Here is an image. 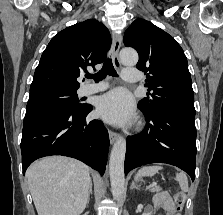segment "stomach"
<instances>
[{"label": "stomach", "instance_id": "0dacf381", "mask_svg": "<svg viewBox=\"0 0 223 215\" xmlns=\"http://www.w3.org/2000/svg\"><path fill=\"white\" fill-rule=\"evenodd\" d=\"M140 177H141V175H138V173H137V175H135L136 181H140Z\"/></svg>", "mask_w": 223, "mask_h": 215}]
</instances>
